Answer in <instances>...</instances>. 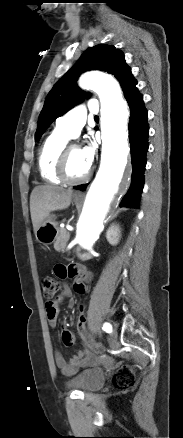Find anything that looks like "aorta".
Returning <instances> with one entry per match:
<instances>
[{
  "mask_svg": "<svg viewBox=\"0 0 183 438\" xmlns=\"http://www.w3.org/2000/svg\"><path fill=\"white\" fill-rule=\"evenodd\" d=\"M79 85L95 91L101 102V163L87 193L76 230L78 245L90 249L99 238L110 213L127 164L130 150L126 132L129 111L118 82L111 76L88 72L81 76Z\"/></svg>",
  "mask_w": 183,
  "mask_h": 438,
  "instance_id": "1",
  "label": "aorta"
}]
</instances>
